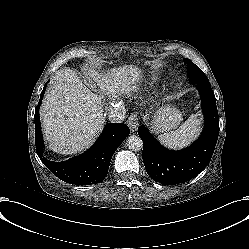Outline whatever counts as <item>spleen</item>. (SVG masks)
Here are the masks:
<instances>
[{"mask_svg": "<svg viewBox=\"0 0 249 249\" xmlns=\"http://www.w3.org/2000/svg\"><path fill=\"white\" fill-rule=\"evenodd\" d=\"M201 131V120L198 114H192L177 130L163 133L158 140L164 146L178 150L193 142Z\"/></svg>", "mask_w": 249, "mask_h": 249, "instance_id": "spleen-1", "label": "spleen"}]
</instances>
